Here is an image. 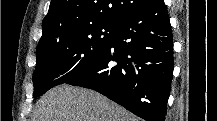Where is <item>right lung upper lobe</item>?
<instances>
[{"label":"right lung upper lobe","mask_w":217,"mask_h":121,"mask_svg":"<svg viewBox=\"0 0 217 121\" xmlns=\"http://www.w3.org/2000/svg\"><path fill=\"white\" fill-rule=\"evenodd\" d=\"M149 0H52L42 22L38 47L97 23L119 24Z\"/></svg>","instance_id":"cb5924a9"}]
</instances>
